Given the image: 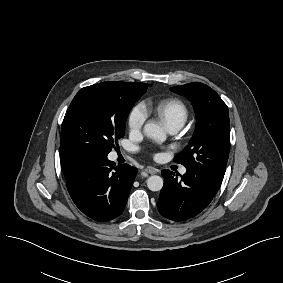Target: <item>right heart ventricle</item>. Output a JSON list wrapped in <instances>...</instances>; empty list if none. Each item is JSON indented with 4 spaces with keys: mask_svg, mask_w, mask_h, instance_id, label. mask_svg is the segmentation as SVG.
<instances>
[{
    "mask_svg": "<svg viewBox=\"0 0 283 283\" xmlns=\"http://www.w3.org/2000/svg\"><path fill=\"white\" fill-rule=\"evenodd\" d=\"M149 112H154L167 128L171 126L182 127L189 115L186 104L178 98H165L154 106L148 107Z\"/></svg>",
    "mask_w": 283,
    "mask_h": 283,
    "instance_id": "1",
    "label": "right heart ventricle"
}]
</instances>
